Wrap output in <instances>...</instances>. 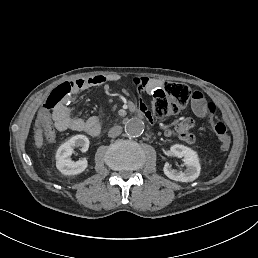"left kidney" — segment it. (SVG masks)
<instances>
[{
  "label": "left kidney",
  "instance_id": "1",
  "mask_svg": "<svg viewBox=\"0 0 258 258\" xmlns=\"http://www.w3.org/2000/svg\"><path fill=\"white\" fill-rule=\"evenodd\" d=\"M170 155L174 157H183L186 165L185 171L173 169L169 162L164 164V172L166 176L174 181H193L199 177L201 166L197 153L184 145H174L170 149Z\"/></svg>",
  "mask_w": 258,
  "mask_h": 258
}]
</instances>
